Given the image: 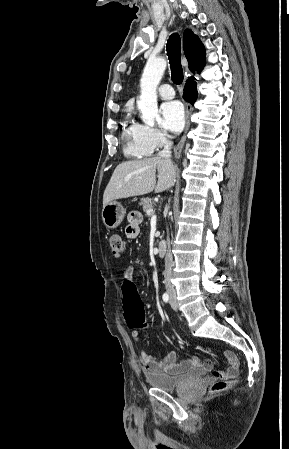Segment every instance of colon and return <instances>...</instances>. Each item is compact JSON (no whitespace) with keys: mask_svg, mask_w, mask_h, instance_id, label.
Masks as SVG:
<instances>
[{"mask_svg":"<svg viewBox=\"0 0 289 449\" xmlns=\"http://www.w3.org/2000/svg\"><path fill=\"white\" fill-rule=\"evenodd\" d=\"M110 247L113 256L120 257L127 250V243L119 235H113L110 238ZM122 304L126 310V322L130 328L137 329L145 327V315L142 308V302L138 296L136 283L132 279H125L121 283ZM214 375V374H213ZM217 378V377H216ZM232 381L224 378H218L211 386L212 392H219L231 385Z\"/></svg>","mask_w":289,"mask_h":449,"instance_id":"colon-1","label":"colon"}]
</instances>
